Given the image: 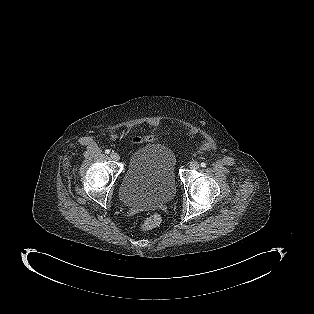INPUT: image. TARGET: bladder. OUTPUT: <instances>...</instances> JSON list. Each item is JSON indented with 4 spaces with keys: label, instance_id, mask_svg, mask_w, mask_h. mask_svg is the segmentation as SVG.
<instances>
[{
    "label": "bladder",
    "instance_id": "obj_1",
    "mask_svg": "<svg viewBox=\"0 0 314 314\" xmlns=\"http://www.w3.org/2000/svg\"><path fill=\"white\" fill-rule=\"evenodd\" d=\"M176 193V159L171 149L150 144L137 149L124 173L120 198L131 208L153 209Z\"/></svg>",
    "mask_w": 314,
    "mask_h": 314
}]
</instances>
